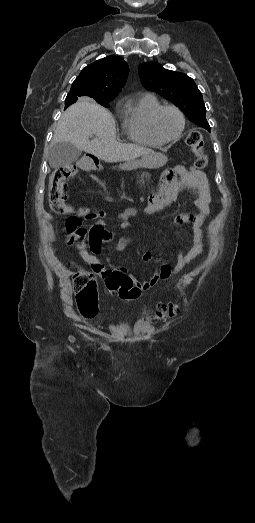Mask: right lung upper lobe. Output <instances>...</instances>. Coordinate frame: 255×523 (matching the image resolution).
<instances>
[{
  "instance_id": "obj_1",
  "label": "right lung upper lobe",
  "mask_w": 255,
  "mask_h": 523,
  "mask_svg": "<svg viewBox=\"0 0 255 523\" xmlns=\"http://www.w3.org/2000/svg\"><path fill=\"white\" fill-rule=\"evenodd\" d=\"M128 72L127 63L116 56H107L86 66L72 83L65 109L78 99L112 101L124 87Z\"/></svg>"
}]
</instances>
